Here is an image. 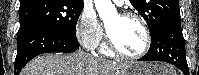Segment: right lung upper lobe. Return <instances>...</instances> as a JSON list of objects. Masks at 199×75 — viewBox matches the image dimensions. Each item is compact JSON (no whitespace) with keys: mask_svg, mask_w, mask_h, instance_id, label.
Returning <instances> with one entry per match:
<instances>
[{"mask_svg":"<svg viewBox=\"0 0 199 75\" xmlns=\"http://www.w3.org/2000/svg\"><path fill=\"white\" fill-rule=\"evenodd\" d=\"M29 1H32V0H21L20 3H25V2H29ZM68 1H71V2H82L83 3V0H68Z\"/></svg>","mask_w":199,"mask_h":75,"instance_id":"cb5924a9","label":"right lung upper lobe"}]
</instances>
